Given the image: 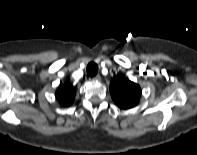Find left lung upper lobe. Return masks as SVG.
Listing matches in <instances>:
<instances>
[{"instance_id": "obj_1", "label": "left lung upper lobe", "mask_w": 197, "mask_h": 155, "mask_svg": "<svg viewBox=\"0 0 197 155\" xmlns=\"http://www.w3.org/2000/svg\"><path fill=\"white\" fill-rule=\"evenodd\" d=\"M110 92L115 104L122 109L134 107L141 97L140 86L121 75L111 82Z\"/></svg>"}]
</instances>
